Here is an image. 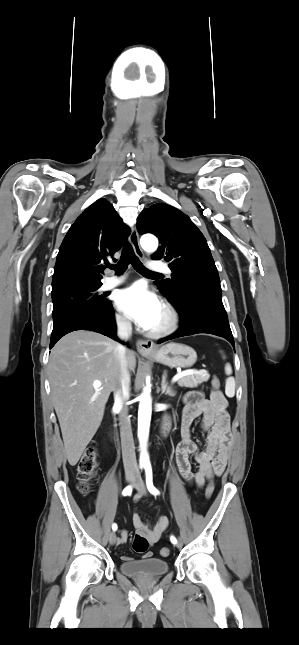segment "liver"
<instances>
[{
  "label": "liver",
  "instance_id": "6515ba94",
  "mask_svg": "<svg viewBox=\"0 0 299 645\" xmlns=\"http://www.w3.org/2000/svg\"><path fill=\"white\" fill-rule=\"evenodd\" d=\"M117 343L99 333L74 331L52 348L48 363L51 397L68 462L75 466L98 430L110 393L120 385ZM135 370V353H126ZM102 385L94 388L93 382Z\"/></svg>",
  "mask_w": 299,
  "mask_h": 645
}]
</instances>
